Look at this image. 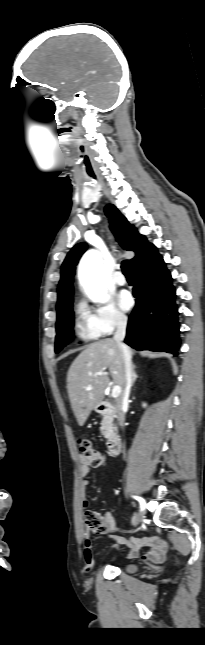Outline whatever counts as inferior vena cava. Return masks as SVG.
Masks as SVG:
<instances>
[{
    "mask_svg": "<svg viewBox=\"0 0 205 645\" xmlns=\"http://www.w3.org/2000/svg\"><path fill=\"white\" fill-rule=\"evenodd\" d=\"M127 319L125 317H120L117 321V329L114 334V341L118 344L122 352L123 362H124V373H125V385L123 388V393L119 400L117 401V419L119 425L123 427L125 421L124 408L128 405V398L130 394V389L132 386V363H131V352L129 348L122 342L126 335Z\"/></svg>",
    "mask_w": 205,
    "mask_h": 645,
    "instance_id": "602c4592",
    "label": "inferior vena cava"
}]
</instances>
